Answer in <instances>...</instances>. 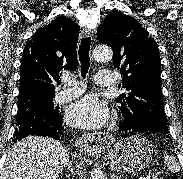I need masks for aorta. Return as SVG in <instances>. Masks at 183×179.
Returning a JSON list of instances; mask_svg holds the SVG:
<instances>
[{
    "mask_svg": "<svg viewBox=\"0 0 183 179\" xmlns=\"http://www.w3.org/2000/svg\"><path fill=\"white\" fill-rule=\"evenodd\" d=\"M93 57L96 61H110L113 57L112 49L108 46H98L93 51ZM90 179H104V174L100 167L91 171Z\"/></svg>",
    "mask_w": 183,
    "mask_h": 179,
    "instance_id": "762f6f07",
    "label": "aorta"
}]
</instances>
